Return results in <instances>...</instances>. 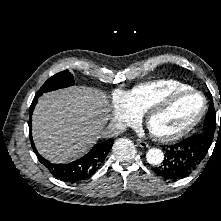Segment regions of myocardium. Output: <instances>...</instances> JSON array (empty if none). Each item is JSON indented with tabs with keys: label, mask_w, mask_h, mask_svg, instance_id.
<instances>
[{
	"label": "myocardium",
	"mask_w": 221,
	"mask_h": 221,
	"mask_svg": "<svg viewBox=\"0 0 221 221\" xmlns=\"http://www.w3.org/2000/svg\"><path fill=\"white\" fill-rule=\"evenodd\" d=\"M190 94H195L200 96L202 99V106L200 110L197 112V114L187 124H185L180 129L171 133H160L151 129L150 122L156 114L163 111L168 106H170L177 100L181 99L182 97ZM206 110H207V100L204 94L196 89L189 88L185 90L171 92L166 96L154 101L144 113V123L149 133L154 139L160 142H167V143L174 142L181 139L182 137L187 135L192 129H194L198 125V123L202 120L203 116L206 113Z\"/></svg>",
	"instance_id": "obj_1"
}]
</instances>
